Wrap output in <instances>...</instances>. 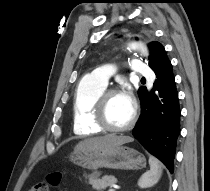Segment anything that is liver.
I'll return each instance as SVG.
<instances>
[{"label": "liver", "mask_w": 210, "mask_h": 191, "mask_svg": "<svg viewBox=\"0 0 210 191\" xmlns=\"http://www.w3.org/2000/svg\"><path fill=\"white\" fill-rule=\"evenodd\" d=\"M132 141L133 139L129 136H116L109 134L106 136L85 139L75 146V150L104 149L114 147L117 145H122Z\"/></svg>", "instance_id": "1"}]
</instances>
